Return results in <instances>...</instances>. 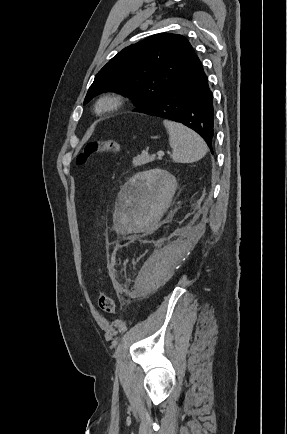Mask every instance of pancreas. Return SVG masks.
Masks as SVG:
<instances>
[{
	"label": "pancreas",
	"instance_id": "1",
	"mask_svg": "<svg viewBox=\"0 0 287 434\" xmlns=\"http://www.w3.org/2000/svg\"><path fill=\"white\" fill-rule=\"evenodd\" d=\"M154 160H155L154 156L142 154V155H138V156L133 158V165L135 167H138V166H142L144 164L150 163Z\"/></svg>",
	"mask_w": 287,
	"mask_h": 434
}]
</instances>
